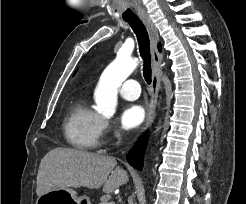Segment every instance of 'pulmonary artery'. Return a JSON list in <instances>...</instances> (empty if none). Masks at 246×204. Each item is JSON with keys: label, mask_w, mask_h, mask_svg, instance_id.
Wrapping results in <instances>:
<instances>
[{"label": "pulmonary artery", "mask_w": 246, "mask_h": 204, "mask_svg": "<svg viewBox=\"0 0 246 204\" xmlns=\"http://www.w3.org/2000/svg\"><path fill=\"white\" fill-rule=\"evenodd\" d=\"M120 95L126 100H136L140 96V85L134 79L126 80L120 90Z\"/></svg>", "instance_id": "pulmonary-artery-1"}]
</instances>
